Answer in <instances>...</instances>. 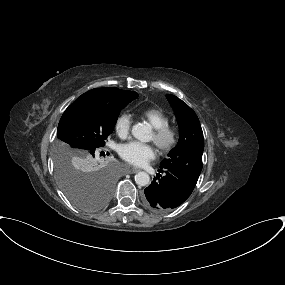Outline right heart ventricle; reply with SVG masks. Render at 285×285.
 Here are the masks:
<instances>
[{
  "label": "right heart ventricle",
  "mask_w": 285,
  "mask_h": 285,
  "mask_svg": "<svg viewBox=\"0 0 285 285\" xmlns=\"http://www.w3.org/2000/svg\"><path fill=\"white\" fill-rule=\"evenodd\" d=\"M136 114L138 117L147 120L153 128L169 124V117L160 108L146 107L138 110Z\"/></svg>",
  "instance_id": "e07e8e85"
}]
</instances>
